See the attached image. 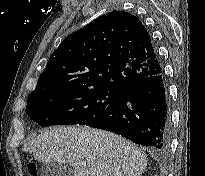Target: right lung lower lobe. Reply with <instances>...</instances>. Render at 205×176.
Returning <instances> with one entry per match:
<instances>
[{
	"label": "right lung lower lobe",
	"mask_w": 205,
	"mask_h": 176,
	"mask_svg": "<svg viewBox=\"0 0 205 176\" xmlns=\"http://www.w3.org/2000/svg\"><path fill=\"white\" fill-rule=\"evenodd\" d=\"M86 125L166 152L170 145V117L163 72L124 88L100 116Z\"/></svg>",
	"instance_id": "obj_1"
}]
</instances>
